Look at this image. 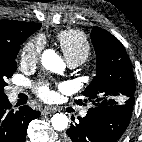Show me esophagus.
Listing matches in <instances>:
<instances>
[{"instance_id": "obj_1", "label": "esophagus", "mask_w": 142, "mask_h": 142, "mask_svg": "<svg viewBox=\"0 0 142 142\" xmlns=\"http://www.w3.org/2000/svg\"><path fill=\"white\" fill-rule=\"evenodd\" d=\"M55 111L54 108L50 107H45L44 109L41 110V115H49Z\"/></svg>"}]
</instances>
